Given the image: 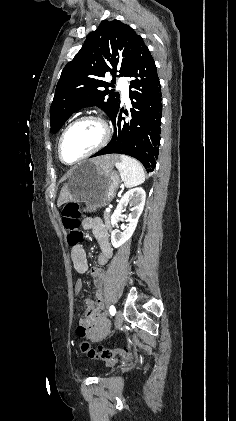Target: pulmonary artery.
<instances>
[{"label": "pulmonary artery", "instance_id": "obj_1", "mask_svg": "<svg viewBox=\"0 0 236 421\" xmlns=\"http://www.w3.org/2000/svg\"><path fill=\"white\" fill-rule=\"evenodd\" d=\"M117 84L119 86H124L126 84V79L124 77H119L117 79ZM121 95H122V100L125 103H129V93H128V86H124L123 88H121Z\"/></svg>", "mask_w": 236, "mask_h": 421}]
</instances>
